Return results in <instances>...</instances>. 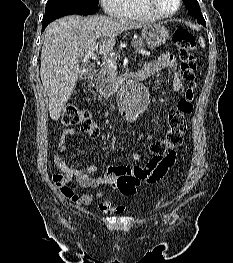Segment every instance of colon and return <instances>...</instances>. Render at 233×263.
<instances>
[{
  "instance_id": "5ec220e1",
  "label": "colon",
  "mask_w": 233,
  "mask_h": 263,
  "mask_svg": "<svg viewBox=\"0 0 233 263\" xmlns=\"http://www.w3.org/2000/svg\"><path fill=\"white\" fill-rule=\"evenodd\" d=\"M173 42L179 51L181 72L188 83L185 97L169 112L162 139L153 143L150 147L153 156L151 160L156 161V165L151 172L146 174L140 167L134 166L122 168L120 173L138 177L146 176L149 181L156 182L173 165L175 150L182 145L187 119L193 112L195 74L197 71L196 42L192 32L184 28H179L174 32ZM61 123L65 127L80 126L81 131L86 132L92 138L99 135V129L91 120L89 113L76 105H69L65 108L61 116ZM63 178L64 175L57 174L54 176V181L58 182Z\"/></svg>"
}]
</instances>
